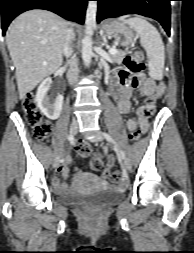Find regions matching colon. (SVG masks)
I'll return each instance as SVG.
<instances>
[{
  "mask_svg": "<svg viewBox=\"0 0 194 253\" xmlns=\"http://www.w3.org/2000/svg\"><path fill=\"white\" fill-rule=\"evenodd\" d=\"M124 66L127 72L134 75H141L144 70L143 54L141 52H135L124 59ZM22 111L27 124L32 128L34 137L45 143L51 132V125L45 119L43 114L37 107L34 94H28L22 100ZM139 111L143 115H151L154 111V99H147V101L139 107ZM139 131H130V139L137 141L139 139ZM76 151L80 156H87L91 152V146L85 141H79L76 144ZM90 167L99 171L103 167V160L99 155H94L90 160ZM107 177L112 183H121L123 181V175L120 171L109 172Z\"/></svg>",
  "mask_w": 194,
  "mask_h": 253,
  "instance_id": "colon-1",
  "label": "colon"
}]
</instances>
